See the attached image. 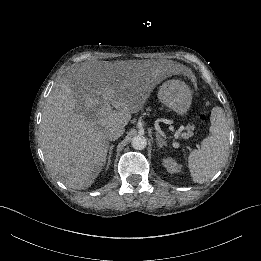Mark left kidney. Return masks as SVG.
<instances>
[{
    "label": "left kidney",
    "mask_w": 261,
    "mask_h": 261,
    "mask_svg": "<svg viewBox=\"0 0 261 261\" xmlns=\"http://www.w3.org/2000/svg\"><path fill=\"white\" fill-rule=\"evenodd\" d=\"M163 164L169 173H175L180 170V167L172 159H166Z\"/></svg>",
    "instance_id": "obj_1"
}]
</instances>
